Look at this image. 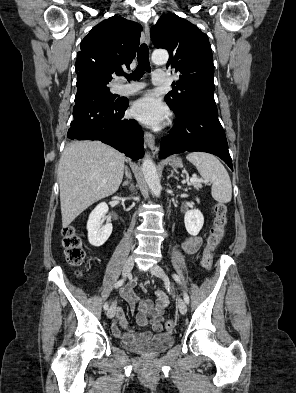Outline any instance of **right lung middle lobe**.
<instances>
[{"instance_id":"obj_1","label":"right lung middle lobe","mask_w":296,"mask_h":393,"mask_svg":"<svg viewBox=\"0 0 296 393\" xmlns=\"http://www.w3.org/2000/svg\"><path fill=\"white\" fill-rule=\"evenodd\" d=\"M90 81L99 89L104 96L110 101H117L116 95L112 94L109 90L108 84L109 82L95 78V77H88Z\"/></svg>"}]
</instances>
